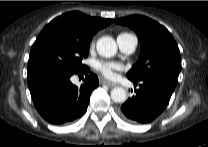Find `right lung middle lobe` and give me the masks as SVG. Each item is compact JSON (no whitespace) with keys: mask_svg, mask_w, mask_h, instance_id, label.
Returning a JSON list of instances; mask_svg holds the SVG:
<instances>
[{"mask_svg":"<svg viewBox=\"0 0 208 147\" xmlns=\"http://www.w3.org/2000/svg\"><path fill=\"white\" fill-rule=\"evenodd\" d=\"M90 40L68 32H53L34 42L28 73L40 70L78 72L86 68L83 58L88 56Z\"/></svg>","mask_w":208,"mask_h":147,"instance_id":"dd1d6c3e","label":"right lung middle lobe"}]
</instances>
